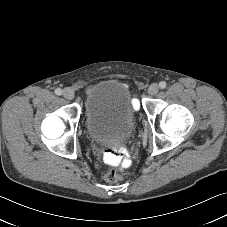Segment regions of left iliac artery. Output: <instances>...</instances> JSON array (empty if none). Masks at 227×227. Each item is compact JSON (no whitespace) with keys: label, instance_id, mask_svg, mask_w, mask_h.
Segmentation results:
<instances>
[{"label":"left iliac artery","instance_id":"44dca946","mask_svg":"<svg viewBox=\"0 0 227 227\" xmlns=\"http://www.w3.org/2000/svg\"><path fill=\"white\" fill-rule=\"evenodd\" d=\"M166 86H167V84H166L165 81H161V82L159 83V87H160L161 89L166 88Z\"/></svg>","mask_w":227,"mask_h":227}]
</instances>
